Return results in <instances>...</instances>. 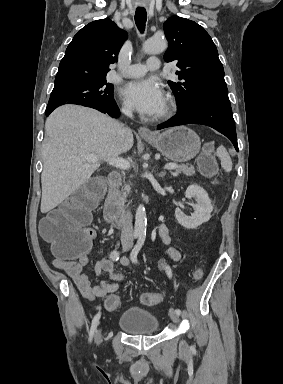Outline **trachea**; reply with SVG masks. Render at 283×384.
Returning a JSON list of instances; mask_svg holds the SVG:
<instances>
[{
    "mask_svg": "<svg viewBox=\"0 0 283 384\" xmlns=\"http://www.w3.org/2000/svg\"><path fill=\"white\" fill-rule=\"evenodd\" d=\"M135 23L140 32H144L146 24L145 8H137L135 12Z\"/></svg>",
    "mask_w": 283,
    "mask_h": 384,
    "instance_id": "obj_1",
    "label": "trachea"
}]
</instances>
